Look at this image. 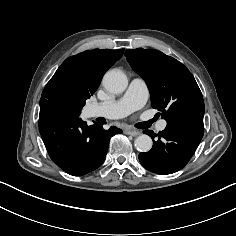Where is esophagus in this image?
Returning a JSON list of instances; mask_svg holds the SVG:
<instances>
[{"label":"esophagus","instance_id":"esophagus-1","mask_svg":"<svg viewBox=\"0 0 236 236\" xmlns=\"http://www.w3.org/2000/svg\"><path fill=\"white\" fill-rule=\"evenodd\" d=\"M126 134H128V135H131V136L135 137V136H138V135H140V134H141V132H140V131H137V130H129V131H126Z\"/></svg>","mask_w":236,"mask_h":236}]
</instances>
